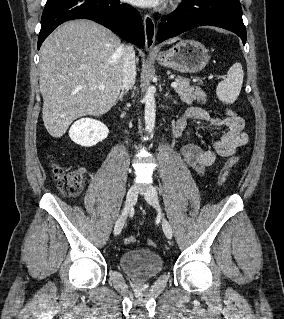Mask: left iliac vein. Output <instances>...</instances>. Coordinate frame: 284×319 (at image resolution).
<instances>
[{"label": "left iliac vein", "mask_w": 284, "mask_h": 319, "mask_svg": "<svg viewBox=\"0 0 284 319\" xmlns=\"http://www.w3.org/2000/svg\"><path fill=\"white\" fill-rule=\"evenodd\" d=\"M145 200L155 207L157 210H160V202L158 198L157 191L154 187L150 186L146 193L144 194ZM162 227L163 231L168 239H171L173 236V231L170 223L163 217L162 218Z\"/></svg>", "instance_id": "left-iliac-vein-1"}]
</instances>
